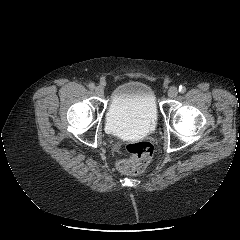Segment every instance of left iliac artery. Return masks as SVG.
Here are the masks:
<instances>
[{"instance_id":"left-iliac-artery-1","label":"left iliac artery","mask_w":240,"mask_h":240,"mask_svg":"<svg viewBox=\"0 0 240 240\" xmlns=\"http://www.w3.org/2000/svg\"><path fill=\"white\" fill-rule=\"evenodd\" d=\"M186 91V88L184 86L179 87V92L184 93Z\"/></svg>"}]
</instances>
